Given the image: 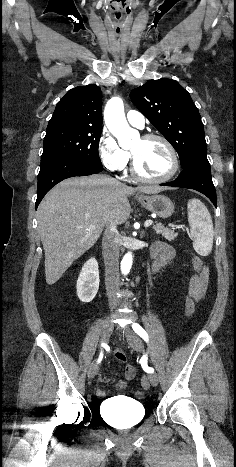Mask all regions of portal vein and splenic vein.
Segmentation results:
<instances>
[{"instance_id":"18ae733b","label":"portal vein and splenic vein","mask_w":236,"mask_h":467,"mask_svg":"<svg viewBox=\"0 0 236 467\" xmlns=\"http://www.w3.org/2000/svg\"><path fill=\"white\" fill-rule=\"evenodd\" d=\"M153 224V221L152 220H147L144 224L145 228L151 226ZM89 228H96V225H90Z\"/></svg>"}]
</instances>
